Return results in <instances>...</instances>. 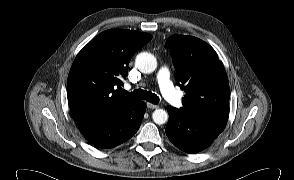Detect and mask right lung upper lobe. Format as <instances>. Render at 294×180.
<instances>
[{
    "instance_id": "right-lung-upper-lobe-1",
    "label": "right lung upper lobe",
    "mask_w": 294,
    "mask_h": 180,
    "mask_svg": "<svg viewBox=\"0 0 294 180\" xmlns=\"http://www.w3.org/2000/svg\"><path fill=\"white\" fill-rule=\"evenodd\" d=\"M151 38L133 30L110 29L78 53L67 81L68 103L77 125L103 120L133 101L118 89L132 56Z\"/></svg>"
}]
</instances>
